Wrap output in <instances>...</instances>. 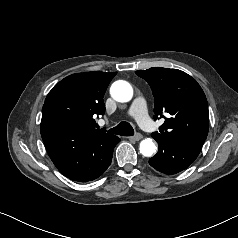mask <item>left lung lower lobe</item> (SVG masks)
<instances>
[{
  "label": "left lung lower lobe",
  "mask_w": 238,
  "mask_h": 238,
  "mask_svg": "<svg viewBox=\"0 0 238 238\" xmlns=\"http://www.w3.org/2000/svg\"><path fill=\"white\" fill-rule=\"evenodd\" d=\"M158 142L157 154L150 158L149 164L165 174H175L191 165L200 153V149L178 144L173 141Z\"/></svg>",
  "instance_id": "left-lung-lower-lobe-1"
}]
</instances>
